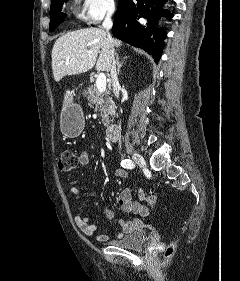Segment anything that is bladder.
<instances>
[{
  "label": "bladder",
  "mask_w": 240,
  "mask_h": 281,
  "mask_svg": "<svg viewBox=\"0 0 240 281\" xmlns=\"http://www.w3.org/2000/svg\"><path fill=\"white\" fill-rule=\"evenodd\" d=\"M148 237V232L145 229H139L115 239L110 243L119 248L139 249L147 242Z\"/></svg>",
  "instance_id": "1"
}]
</instances>
